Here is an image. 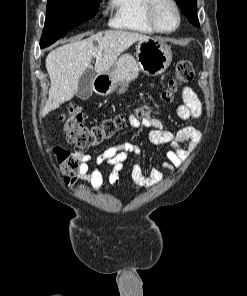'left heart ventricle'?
Masks as SVG:
<instances>
[{
  "label": "left heart ventricle",
  "instance_id": "b2bd125f",
  "mask_svg": "<svg viewBox=\"0 0 247 296\" xmlns=\"http://www.w3.org/2000/svg\"><path fill=\"white\" fill-rule=\"evenodd\" d=\"M156 18L162 29L169 30L176 25L174 9L166 2H160L156 8Z\"/></svg>",
  "mask_w": 247,
  "mask_h": 296
}]
</instances>
